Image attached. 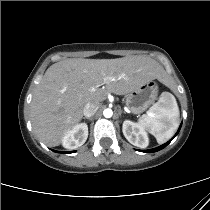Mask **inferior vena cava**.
Wrapping results in <instances>:
<instances>
[{
    "label": "inferior vena cava",
    "mask_w": 210,
    "mask_h": 210,
    "mask_svg": "<svg viewBox=\"0 0 210 210\" xmlns=\"http://www.w3.org/2000/svg\"><path fill=\"white\" fill-rule=\"evenodd\" d=\"M99 108V104L95 102H88L83 110V114L85 117L93 116Z\"/></svg>",
    "instance_id": "602c4592"
}]
</instances>
